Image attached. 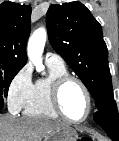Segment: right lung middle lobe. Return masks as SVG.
Listing matches in <instances>:
<instances>
[{
	"mask_svg": "<svg viewBox=\"0 0 119 141\" xmlns=\"http://www.w3.org/2000/svg\"><path fill=\"white\" fill-rule=\"evenodd\" d=\"M19 71L15 69H0V110L4 106L3 97H7L9 85Z\"/></svg>",
	"mask_w": 119,
	"mask_h": 141,
	"instance_id": "1",
	"label": "right lung middle lobe"
}]
</instances>
